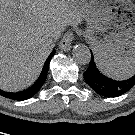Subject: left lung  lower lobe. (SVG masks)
Masks as SVG:
<instances>
[{"label":"left lung lower lobe","instance_id":"obj_1","mask_svg":"<svg viewBox=\"0 0 135 135\" xmlns=\"http://www.w3.org/2000/svg\"><path fill=\"white\" fill-rule=\"evenodd\" d=\"M92 59L87 70L83 73L86 83L99 95L105 97H116L126 93L135 85V75L132 78L122 81L110 79L99 72Z\"/></svg>","mask_w":135,"mask_h":135}]
</instances>
